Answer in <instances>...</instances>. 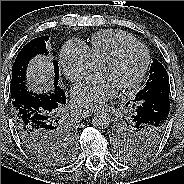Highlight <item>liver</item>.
<instances>
[{
  "mask_svg": "<svg viewBox=\"0 0 184 184\" xmlns=\"http://www.w3.org/2000/svg\"><path fill=\"white\" fill-rule=\"evenodd\" d=\"M50 56H36L27 68L28 82L32 88L41 87L51 89L53 65Z\"/></svg>",
  "mask_w": 184,
  "mask_h": 184,
  "instance_id": "6515ba94",
  "label": "liver"
}]
</instances>
